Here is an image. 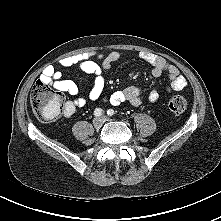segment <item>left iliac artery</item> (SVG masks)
Returning <instances> with one entry per match:
<instances>
[{
  "label": "left iliac artery",
  "mask_w": 221,
  "mask_h": 221,
  "mask_svg": "<svg viewBox=\"0 0 221 221\" xmlns=\"http://www.w3.org/2000/svg\"><path fill=\"white\" fill-rule=\"evenodd\" d=\"M108 116H113L114 115V110L113 109H109L107 111Z\"/></svg>",
  "instance_id": "1"
}]
</instances>
